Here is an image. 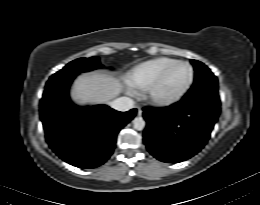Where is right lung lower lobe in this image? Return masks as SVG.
<instances>
[{
    "instance_id": "obj_1",
    "label": "right lung lower lobe",
    "mask_w": 260,
    "mask_h": 205,
    "mask_svg": "<svg viewBox=\"0 0 260 205\" xmlns=\"http://www.w3.org/2000/svg\"><path fill=\"white\" fill-rule=\"evenodd\" d=\"M78 73L52 75L41 99L40 115L51 149L67 163L95 168L113 153L116 137L136 114V109L119 112L106 105L77 107L68 89Z\"/></svg>"
}]
</instances>
